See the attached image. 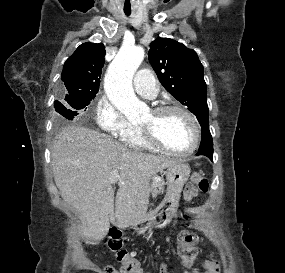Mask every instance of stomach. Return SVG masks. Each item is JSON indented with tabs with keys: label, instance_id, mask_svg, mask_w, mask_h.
<instances>
[{
	"label": "stomach",
	"instance_id": "1",
	"mask_svg": "<svg viewBox=\"0 0 285 273\" xmlns=\"http://www.w3.org/2000/svg\"><path fill=\"white\" fill-rule=\"evenodd\" d=\"M190 167L182 162H177L165 171L167 179V194L162 203L143 220L133 224L134 228L143 233L150 227L156 219L161 221L169 220L172 213L178 207L180 194L184 184L190 176Z\"/></svg>",
	"mask_w": 285,
	"mask_h": 273
}]
</instances>
